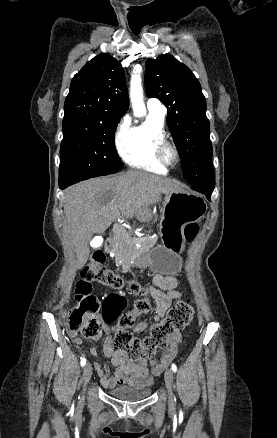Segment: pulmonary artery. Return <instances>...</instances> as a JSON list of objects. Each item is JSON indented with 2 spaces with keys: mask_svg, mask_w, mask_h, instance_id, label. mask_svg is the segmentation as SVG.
<instances>
[{
  "mask_svg": "<svg viewBox=\"0 0 277 438\" xmlns=\"http://www.w3.org/2000/svg\"><path fill=\"white\" fill-rule=\"evenodd\" d=\"M133 75H132V78L134 77ZM137 78H139V76ZM151 101L153 103L149 101L146 104V109H147L148 113L153 115L154 117L164 119L166 114H167V109L165 108V106L160 104V103H156L158 101V98L156 96H153L151 98Z\"/></svg>",
  "mask_w": 277,
  "mask_h": 438,
  "instance_id": "1",
  "label": "pulmonary artery"
}]
</instances>
